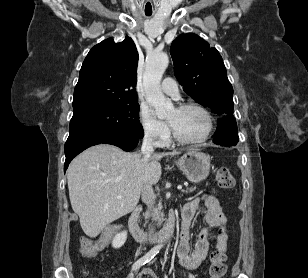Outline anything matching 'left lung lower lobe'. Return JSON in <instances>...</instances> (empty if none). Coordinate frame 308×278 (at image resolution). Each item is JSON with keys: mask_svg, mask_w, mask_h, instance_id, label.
I'll return each instance as SVG.
<instances>
[{"mask_svg": "<svg viewBox=\"0 0 308 278\" xmlns=\"http://www.w3.org/2000/svg\"><path fill=\"white\" fill-rule=\"evenodd\" d=\"M214 143L223 146H234L238 142L237 124L233 115H225L219 119Z\"/></svg>", "mask_w": 308, "mask_h": 278, "instance_id": "0a47b994", "label": "left lung lower lobe"}]
</instances>
